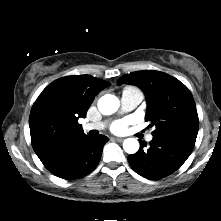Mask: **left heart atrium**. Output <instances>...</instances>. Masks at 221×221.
Segmentation results:
<instances>
[{"label": "left heart atrium", "mask_w": 221, "mask_h": 221, "mask_svg": "<svg viewBox=\"0 0 221 221\" xmlns=\"http://www.w3.org/2000/svg\"><path fill=\"white\" fill-rule=\"evenodd\" d=\"M127 128V122L126 121H118L113 124L112 130L116 133H122Z\"/></svg>", "instance_id": "obj_1"}]
</instances>
